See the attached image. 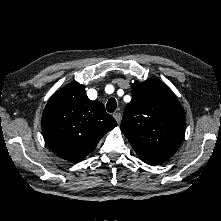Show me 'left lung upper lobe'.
I'll return each instance as SVG.
<instances>
[{
	"label": "left lung upper lobe",
	"mask_w": 221,
	"mask_h": 221,
	"mask_svg": "<svg viewBox=\"0 0 221 221\" xmlns=\"http://www.w3.org/2000/svg\"><path fill=\"white\" fill-rule=\"evenodd\" d=\"M121 130L140 159L156 166L178 150L185 133L186 115L174 93L160 80L134 83Z\"/></svg>",
	"instance_id": "obj_1"
}]
</instances>
